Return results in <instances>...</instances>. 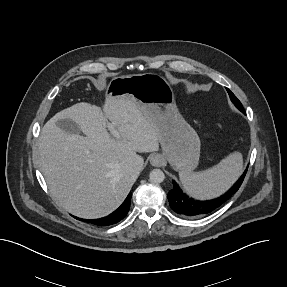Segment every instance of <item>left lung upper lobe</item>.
<instances>
[{"label": "left lung upper lobe", "mask_w": 287, "mask_h": 287, "mask_svg": "<svg viewBox=\"0 0 287 287\" xmlns=\"http://www.w3.org/2000/svg\"><path fill=\"white\" fill-rule=\"evenodd\" d=\"M228 91V94L230 96L231 101L234 103V105L240 110V111H244V108L242 106V104L240 103V101L237 99V97L228 89L226 88Z\"/></svg>", "instance_id": "5c2ea615"}]
</instances>
